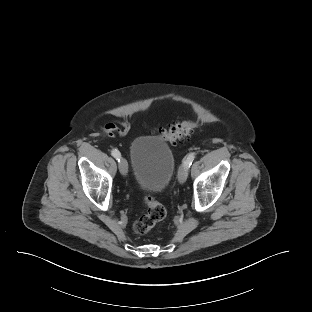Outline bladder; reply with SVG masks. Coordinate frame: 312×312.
I'll return each mask as SVG.
<instances>
[{
	"label": "bladder",
	"instance_id": "1",
	"mask_svg": "<svg viewBox=\"0 0 312 312\" xmlns=\"http://www.w3.org/2000/svg\"><path fill=\"white\" fill-rule=\"evenodd\" d=\"M132 173L138 189L159 193L169 184L175 170L174 154L157 136H140L130 146Z\"/></svg>",
	"mask_w": 312,
	"mask_h": 312
}]
</instances>
